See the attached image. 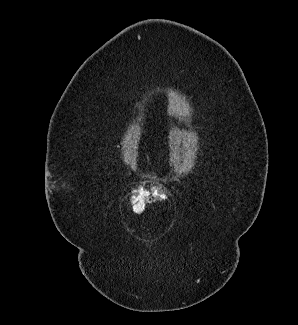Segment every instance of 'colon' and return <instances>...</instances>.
I'll list each match as a JSON object with an SVG mask.
<instances>
[{
  "instance_id": "1",
  "label": "colon",
  "mask_w": 298,
  "mask_h": 325,
  "mask_svg": "<svg viewBox=\"0 0 298 325\" xmlns=\"http://www.w3.org/2000/svg\"><path fill=\"white\" fill-rule=\"evenodd\" d=\"M166 192L162 186L148 188L143 185L136 186L132 191V206L135 212L143 213L152 199L164 200Z\"/></svg>"
}]
</instances>
